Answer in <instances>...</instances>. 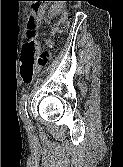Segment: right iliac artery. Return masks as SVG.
<instances>
[{"label": "right iliac artery", "mask_w": 123, "mask_h": 167, "mask_svg": "<svg viewBox=\"0 0 123 167\" xmlns=\"http://www.w3.org/2000/svg\"><path fill=\"white\" fill-rule=\"evenodd\" d=\"M27 95H23L20 101L19 113L22 121L27 125L29 124V116L26 109Z\"/></svg>", "instance_id": "right-iliac-artery-1"}]
</instances>
